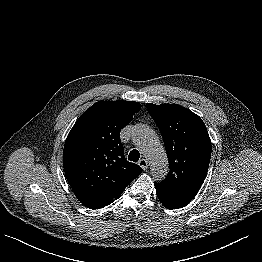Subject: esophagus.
Instances as JSON below:
<instances>
[{
	"mask_svg": "<svg viewBox=\"0 0 262 262\" xmlns=\"http://www.w3.org/2000/svg\"><path fill=\"white\" fill-rule=\"evenodd\" d=\"M138 165H139L140 167H142L143 170L148 169V161L145 160V159H141V160L138 162Z\"/></svg>",
	"mask_w": 262,
	"mask_h": 262,
	"instance_id": "34e87169",
	"label": "esophagus"
}]
</instances>
